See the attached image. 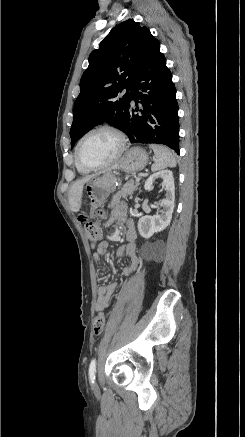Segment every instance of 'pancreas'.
Segmentation results:
<instances>
[{
  "mask_svg": "<svg viewBox=\"0 0 245 437\" xmlns=\"http://www.w3.org/2000/svg\"><path fill=\"white\" fill-rule=\"evenodd\" d=\"M138 185L139 181L130 180L126 182L123 187L113 196L109 206L114 207L120 202L121 198L126 199L128 196H131L137 189Z\"/></svg>",
  "mask_w": 245,
  "mask_h": 437,
  "instance_id": "obj_1",
  "label": "pancreas"
}]
</instances>
